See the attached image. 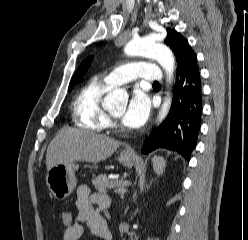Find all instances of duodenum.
I'll list each match as a JSON object with an SVG mask.
<instances>
[{
    "mask_svg": "<svg viewBox=\"0 0 248 240\" xmlns=\"http://www.w3.org/2000/svg\"><path fill=\"white\" fill-rule=\"evenodd\" d=\"M93 233L100 237L102 240H111V232L105 221L96 225L93 229Z\"/></svg>",
    "mask_w": 248,
    "mask_h": 240,
    "instance_id": "obj_1",
    "label": "duodenum"
}]
</instances>
